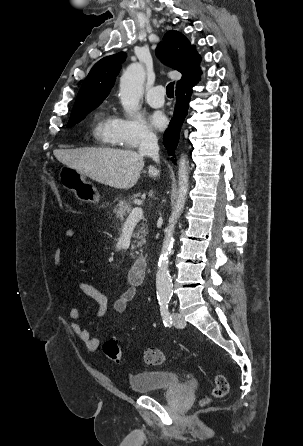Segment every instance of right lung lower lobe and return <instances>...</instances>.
Returning a JSON list of instances; mask_svg holds the SVG:
<instances>
[{"label":"right lung lower lobe","mask_w":303,"mask_h":446,"mask_svg":"<svg viewBox=\"0 0 303 446\" xmlns=\"http://www.w3.org/2000/svg\"><path fill=\"white\" fill-rule=\"evenodd\" d=\"M200 77L176 88V105L174 116L170 122L169 128L164 134V145L169 151V155H173V151L177 146L179 132L184 118L188 113L189 101L192 94V86L199 81ZM173 160V159H172Z\"/></svg>","instance_id":"right-lung-lower-lobe-1"}]
</instances>
